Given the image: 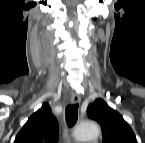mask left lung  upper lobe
Here are the masks:
<instances>
[{
    "label": "left lung upper lobe",
    "instance_id": "left-lung-upper-lobe-1",
    "mask_svg": "<svg viewBox=\"0 0 145 143\" xmlns=\"http://www.w3.org/2000/svg\"><path fill=\"white\" fill-rule=\"evenodd\" d=\"M88 117L95 119L101 125L102 143H137L128 123L102 99H97L89 106Z\"/></svg>",
    "mask_w": 145,
    "mask_h": 143
}]
</instances>
